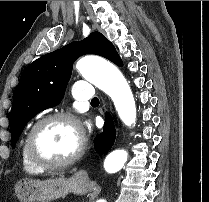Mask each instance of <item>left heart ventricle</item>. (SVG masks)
Returning <instances> with one entry per match:
<instances>
[{
  "instance_id": "obj_1",
  "label": "left heart ventricle",
  "mask_w": 209,
  "mask_h": 202,
  "mask_svg": "<svg viewBox=\"0 0 209 202\" xmlns=\"http://www.w3.org/2000/svg\"><path fill=\"white\" fill-rule=\"evenodd\" d=\"M79 140L80 133L75 126L65 121H51L35 133L33 150L41 160L58 162L76 151Z\"/></svg>"
}]
</instances>
